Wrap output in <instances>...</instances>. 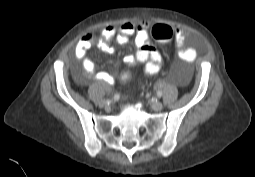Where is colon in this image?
Wrapping results in <instances>:
<instances>
[{"mask_svg": "<svg viewBox=\"0 0 255 177\" xmlns=\"http://www.w3.org/2000/svg\"><path fill=\"white\" fill-rule=\"evenodd\" d=\"M174 31L172 27L167 23H160L152 28V36L159 42H168L172 39ZM131 77V73L126 71L122 73V79L128 80Z\"/></svg>", "mask_w": 255, "mask_h": 177, "instance_id": "1", "label": "colon"}]
</instances>
